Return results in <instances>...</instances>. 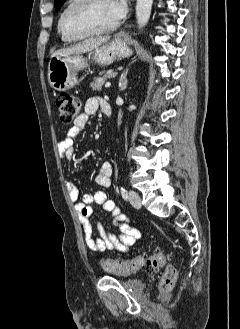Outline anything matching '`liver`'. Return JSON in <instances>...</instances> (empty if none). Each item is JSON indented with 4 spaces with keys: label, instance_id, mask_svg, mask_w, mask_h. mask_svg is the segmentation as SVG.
I'll use <instances>...</instances> for the list:
<instances>
[{
    "label": "liver",
    "instance_id": "1",
    "mask_svg": "<svg viewBox=\"0 0 240 329\" xmlns=\"http://www.w3.org/2000/svg\"><path fill=\"white\" fill-rule=\"evenodd\" d=\"M109 37H98V38H91L85 40L81 43L76 45L56 50L52 53V57L54 56H67L75 53H86L96 49L97 47L101 46L103 43L107 42Z\"/></svg>",
    "mask_w": 240,
    "mask_h": 329
}]
</instances>
